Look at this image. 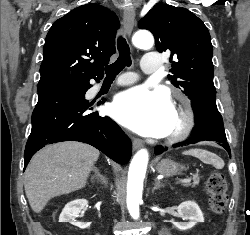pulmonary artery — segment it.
Instances as JSON below:
<instances>
[{
  "mask_svg": "<svg viewBox=\"0 0 250 235\" xmlns=\"http://www.w3.org/2000/svg\"><path fill=\"white\" fill-rule=\"evenodd\" d=\"M162 65V61L159 54L156 52H149L144 55L143 61L141 63V69L143 72L150 73L157 71ZM135 81L133 75H128L119 80L122 84H130Z\"/></svg>",
  "mask_w": 250,
  "mask_h": 235,
  "instance_id": "pulmonary-artery-1",
  "label": "pulmonary artery"
}]
</instances>
